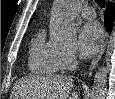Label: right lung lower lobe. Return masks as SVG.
<instances>
[{
  "label": "right lung lower lobe",
  "mask_w": 115,
  "mask_h": 99,
  "mask_svg": "<svg viewBox=\"0 0 115 99\" xmlns=\"http://www.w3.org/2000/svg\"><path fill=\"white\" fill-rule=\"evenodd\" d=\"M114 23V5L113 3H107L105 11V26L108 31L112 30Z\"/></svg>",
  "instance_id": "1"
}]
</instances>
